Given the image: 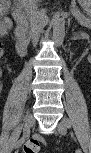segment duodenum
Masks as SVG:
<instances>
[{
    "label": "duodenum",
    "mask_w": 91,
    "mask_h": 153,
    "mask_svg": "<svg viewBox=\"0 0 91 153\" xmlns=\"http://www.w3.org/2000/svg\"><path fill=\"white\" fill-rule=\"evenodd\" d=\"M24 13L25 10L22 6L18 7L15 13V28L13 30V39L18 55L25 56L29 50V44L24 35Z\"/></svg>",
    "instance_id": "1"
}]
</instances>
